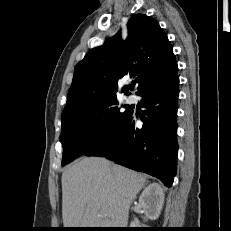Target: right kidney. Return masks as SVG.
I'll return each instance as SVG.
<instances>
[{"mask_svg": "<svg viewBox=\"0 0 231 231\" xmlns=\"http://www.w3.org/2000/svg\"><path fill=\"white\" fill-rule=\"evenodd\" d=\"M139 203L142 206L145 215L150 220H156L162 210L164 204V192L158 183H152L146 187L139 198ZM136 223L131 222V228H135Z\"/></svg>", "mask_w": 231, "mask_h": 231, "instance_id": "1", "label": "right kidney"}]
</instances>
